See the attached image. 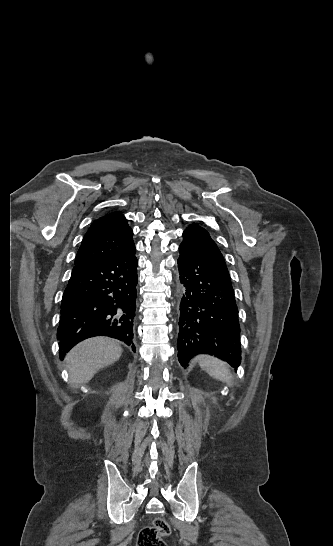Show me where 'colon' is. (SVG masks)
Instances as JSON below:
<instances>
[{"label":"colon","mask_w":333,"mask_h":546,"mask_svg":"<svg viewBox=\"0 0 333 546\" xmlns=\"http://www.w3.org/2000/svg\"><path fill=\"white\" fill-rule=\"evenodd\" d=\"M170 533L168 523L162 518H156L152 526L141 529L138 546H166L163 538Z\"/></svg>","instance_id":"obj_1"}]
</instances>
